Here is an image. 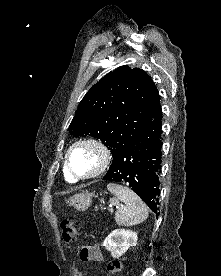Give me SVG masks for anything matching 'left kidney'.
I'll list each match as a JSON object with an SVG mask.
<instances>
[{
	"label": "left kidney",
	"instance_id": "obj_1",
	"mask_svg": "<svg viewBox=\"0 0 221 276\" xmlns=\"http://www.w3.org/2000/svg\"><path fill=\"white\" fill-rule=\"evenodd\" d=\"M137 233L131 230L116 229L104 240L103 246L111 252L112 257L119 258L131 246H136Z\"/></svg>",
	"mask_w": 221,
	"mask_h": 276
}]
</instances>
